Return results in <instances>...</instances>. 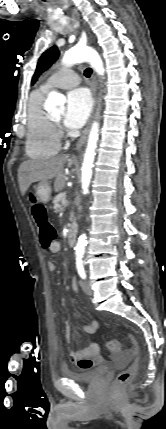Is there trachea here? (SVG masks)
I'll use <instances>...</instances> for the list:
<instances>
[{"instance_id":"3493384b","label":"trachea","mask_w":166,"mask_h":429,"mask_svg":"<svg viewBox=\"0 0 166 429\" xmlns=\"http://www.w3.org/2000/svg\"><path fill=\"white\" fill-rule=\"evenodd\" d=\"M91 74H92V69H91V68H87V69L84 71V75H85L86 77H90V76H91Z\"/></svg>"}]
</instances>
